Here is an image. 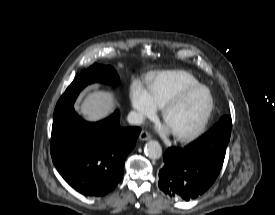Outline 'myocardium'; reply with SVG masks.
<instances>
[{"instance_id":"1","label":"myocardium","mask_w":275,"mask_h":215,"mask_svg":"<svg viewBox=\"0 0 275 215\" xmlns=\"http://www.w3.org/2000/svg\"><path fill=\"white\" fill-rule=\"evenodd\" d=\"M199 89H204L207 91L209 96V107L204 117L200 121V123L196 127H194L192 130L185 133H173V136L179 141H190L195 137H197L205 129L214 111V107H215L214 96L211 90L207 86L199 83V84L188 86L182 89L176 95H174L170 100H168L166 104L163 106L162 117H163V120L166 122L167 116L170 113V111L174 109L178 104H180V102L187 95Z\"/></svg>"}]
</instances>
